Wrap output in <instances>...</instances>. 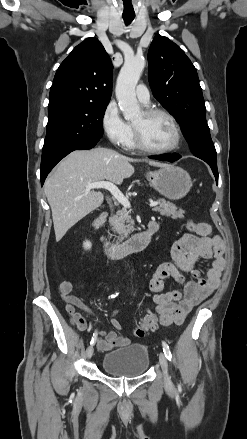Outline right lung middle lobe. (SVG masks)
Here are the masks:
<instances>
[{
    "mask_svg": "<svg viewBox=\"0 0 247 439\" xmlns=\"http://www.w3.org/2000/svg\"><path fill=\"white\" fill-rule=\"evenodd\" d=\"M107 105L77 101L49 105L42 155L71 146L97 143L103 135Z\"/></svg>",
    "mask_w": 247,
    "mask_h": 439,
    "instance_id": "right-lung-middle-lobe-1",
    "label": "right lung middle lobe"
}]
</instances>
